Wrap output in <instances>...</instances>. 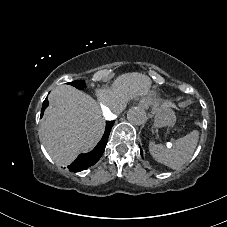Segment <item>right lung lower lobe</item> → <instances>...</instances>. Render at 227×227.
<instances>
[{
	"label": "right lung lower lobe",
	"mask_w": 227,
	"mask_h": 227,
	"mask_svg": "<svg viewBox=\"0 0 227 227\" xmlns=\"http://www.w3.org/2000/svg\"><path fill=\"white\" fill-rule=\"evenodd\" d=\"M45 100L48 102L47 99H45ZM45 108L46 107H42L41 117L43 115V111ZM113 124H114V121H107L105 133H104L101 141L97 144V146L92 151H90L89 153L80 154L77 157V159L71 165L68 166V168L71 172H78L83 169H86V168L94 165L99 160V158L102 156V154L105 150V146L107 144L108 137H109Z\"/></svg>",
	"instance_id": "right-lung-lower-lobe-1"
}]
</instances>
